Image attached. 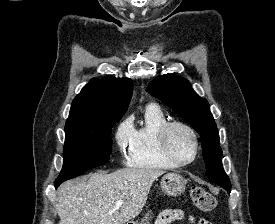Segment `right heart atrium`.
Returning <instances> with one entry per match:
<instances>
[{"label": "right heart atrium", "mask_w": 275, "mask_h": 224, "mask_svg": "<svg viewBox=\"0 0 275 224\" xmlns=\"http://www.w3.org/2000/svg\"><path fill=\"white\" fill-rule=\"evenodd\" d=\"M133 126L131 121L126 119L122 121L115 132V141L120 152L129 150L132 143Z\"/></svg>", "instance_id": "d8ad5b80"}]
</instances>
